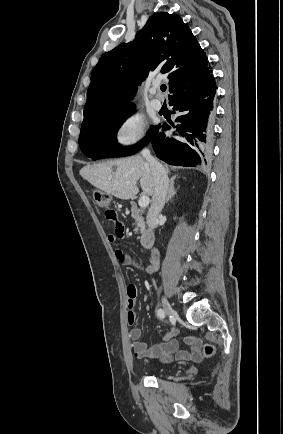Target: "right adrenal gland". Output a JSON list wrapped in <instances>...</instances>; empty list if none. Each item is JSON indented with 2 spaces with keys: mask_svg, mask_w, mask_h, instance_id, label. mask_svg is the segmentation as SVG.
Returning a JSON list of instances; mask_svg holds the SVG:
<instances>
[{
  "mask_svg": "<svg viewBox=\"0 0 283 434\" xmlns=\"http://www.w3.org/2000/svg\"><path fill=\"white\" fill-rule=\"evenodd\" d=\"M175 179H176V175L172 176V178L170 180V187H169V191H168V195H167L165 203H168L170 201V199L176 194V190L174 189Z\"/></svg>",
  "mask_w": 283,
  "mask_h": 434,
  "instance_id": "right-adrenal-gland-1",
  "label": "right adrenal gland"
}]
</instances>
